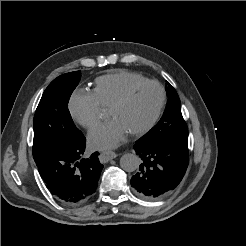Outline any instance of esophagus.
Wrapping results in <instances>:
<instances>
[{"instance_id": "34e87169", "label": "esophagus", "mask_w": 246, "mask_h": 246, "mask_svg": "<svg viewBox=\"0 0 246 246\" xmlns=\"http://www.w3.org/2000/svg\"><path fill=\"white\" fill-rule=\"evenodd\" d=\"M117 155L111 151H103L100 153V160L104 163L114 159Z\"/></svg>"}]
</instances>
